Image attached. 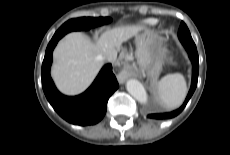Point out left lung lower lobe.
Listing matches in <instances>:
<instances>
[{
    "label": "left lung lower lobe",
    "instance_id": "0a47b994",
    "mask_svg": "<svg viewBox=\"0 0 230 155\" xmlns=\"http://www.w3.org/2000/svg\"><path fill=\"white\" fill-rule=\"evenodd\" d=\"M183 46L186 49V51L188 52L189 58H190L192 65H193L192 83H191L190 91H189L183 105L179 109H177L173 112H169V113H151L147 116L148 118L159 120V119H169V118H173V117L177 116L185 108L187 102L189 101V99L191 98L192 94L194 93V91L196 89L197 80H198V70H199V58H198V52L196 49V45L194 42H184Z\"/></svg>",
    "mask_w": 230,
    "mask_h": 155
}]
</instances>
